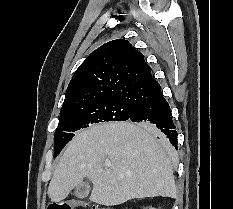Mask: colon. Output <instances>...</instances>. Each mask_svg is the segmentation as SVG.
I'll return each mask as SVG.
<instances>
[{"mask_svg": "<svg viewBox=\"0 0 233 209\" xmlns=\"http://www.w3.org/2000/svg\"><path fill=\"white\" fill-rule=\"evenodd\" d=\"M80 207H89V205L78 199H68L60 202H53L48 206V209H78ZM91 209H116L113 207L94 205Z\"/></svg>", "mask_w": 233, "mask_h": 209, "instance_id": "5ec220e1", "label": "colon"}]
</instances>
